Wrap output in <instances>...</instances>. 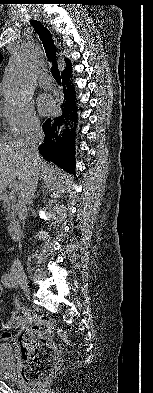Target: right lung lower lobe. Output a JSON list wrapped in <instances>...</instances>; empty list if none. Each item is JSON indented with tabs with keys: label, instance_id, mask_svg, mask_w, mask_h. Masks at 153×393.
Masks as SVG:
<instances>
[{
	"label": "right lung lower lobe",
	"instance_id": "98d812e1",
	"mask_svg": "<svg viewBox=\"0 0 153 393\" xmlns=\"http://www.w3.org/2000/svg\"><path fill=\"white\" fill-rule=\"evenodd\" d=\"M71 68L62 72L64 101L61 105L62 115L49 118L43 125L44 142L39 146L40 153L66 170L74 173V146L77 122V107L74 89L70 86Z\"/></svg>",
	"mask_w": 153,
	"mask_h": 393
}]
</instances>
